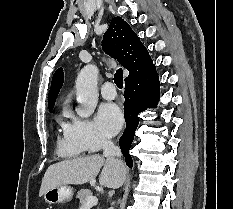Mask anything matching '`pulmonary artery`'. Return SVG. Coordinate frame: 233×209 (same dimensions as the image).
I'll list each match as a JSON object with an SVG mask.
<instances>
[{"label":"pulmonary artery","instance_id":"1","mask_svg":"<svg viewBox=\"0 0 233 209\" xmlns=\"http://www.w3.org/2000/svg\"><path fill=\"white\" fill-rule=\"evenodd\" d=\"M101 95L108 100L114 99L117 95L115 86L112 82H105L100 88Z\"/></svg>","mask_w":233,"mask_h":209}]
</instances>
